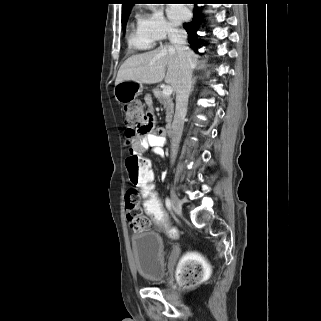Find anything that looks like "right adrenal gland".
I'll return each instance as SVG.
<instances>
[{"mask_svg": "<svg viewBox=\"0 0 321 321\" xmlns=\"http://www.w3.org/2000/svg\"><path fill=\"white\" fill-rule=\"evenodd\" d=\"M195 83H196V79L194 78V79L192 80V85H191L190 95H191V94H192V92L194 91V85H195Z\"/></svg>", "mask_w": 321, "mask_h": 321, "instance_id": "obj_1", "label": "right adrenal gland"}]
</instances>
